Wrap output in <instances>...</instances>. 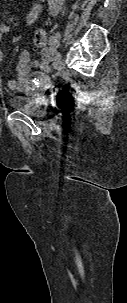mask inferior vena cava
<instances>
[{"instance_id":"1","label":"inferior vena cava","mask_w":127,"mask_h":303,"mask_svg":"<svg viewBox=\"0 0 127 303\" xmlns=\"http://www.w3.org/2000/svg\"><path fill=\"white\" fill-rule=\"evenodd\" d=\"M64 0H48L51 15H57L63 6Z\"/></svg>"}]
</instances>
